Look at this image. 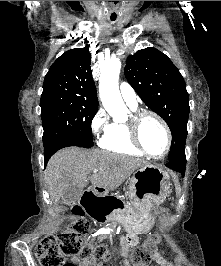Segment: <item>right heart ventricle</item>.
<instances>
[{
    "mask_svg": "<svg viewBox=\"0 0 221 266\" xmlns=\"http://www.w3.org/2000/svg\"><path fill=\"white\" fill-rule=\"evenodd\" d=\"M101 148L130 156H142L143 153L132 143L126 123L113 122L100 139Z\"/></svg>",
    "mask_w": 221,
    "mask_h": 266,
    "instance_id": "1",
    "label": "right heart ventricle"
}]
</instances>
